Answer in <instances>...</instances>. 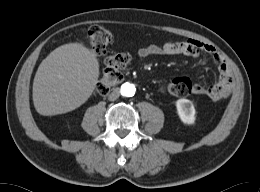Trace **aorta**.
<instances>
[{"label": "aorta", "instance_id": "obj_1", "mask_svg": "<svg viewBox=\"0 0 260 192\" xmlns=\"http://www.w3.org/2000/svg\"><path fill=\"white\" fill-rule=\"evenodd\" d=\"M135 91H136V88H135L134 84L129 83V82L122 84V86L120 88V93L124 97L134 96Z\"/></svg>", "mask_w": 260, "mask_h": 192}]
</instances>
